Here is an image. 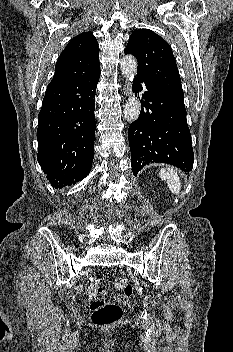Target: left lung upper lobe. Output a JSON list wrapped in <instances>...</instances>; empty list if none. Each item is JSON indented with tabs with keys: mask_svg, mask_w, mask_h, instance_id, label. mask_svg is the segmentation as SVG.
<instances>
[{
	"mask_svg": "<svg viewBox=\"0 0 233 352\" xmlns=\"http://www.w3.org/2000/svg\"><path fill=\"white\" fill-rule=\"evenodd\" d=\"M125 54L137 58V77L184 100L176 60L170 45L161 36L149 29L135 30L129 38Z\"/></svg>",
	"mask_w": 233,
	"mask_h": 352,
	"instance_id": "left-lung-upper-lobe-1",
	"label": "left lung upper lobe"
}]
</instances>
